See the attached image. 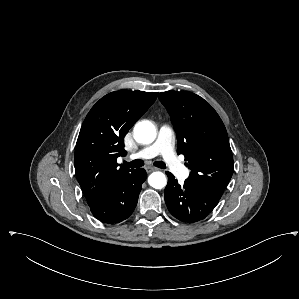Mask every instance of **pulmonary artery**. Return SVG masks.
<instances>
[{"instance_id":"pulmonary-artery-1","label":"pulmonary artery","mask_w":299,"mask_h":299,"mask_svg":"<svg viewBox=\"0 0 299 299\" xmlns=\"http://www.w3.org/2000/svg\"><path fill=\"white\" fill-rule=\"evenodd\" d=\"M174 132L171 127L163 125L160 127L156 141L130 155L131 159H148L161 155L170 168L178 177L184 179L189 175V171L177 158L174 148Z\"/></svg>"}]
</instances>
